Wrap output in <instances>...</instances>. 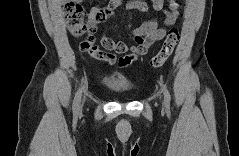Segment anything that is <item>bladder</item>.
I'll return each mask as SVG.
<instances>
[{"label": "bladder", "instance_id": "31cf9c89", "mask_svg": "<svg viewBox=\"0 0 239 156\" xmlns=\"http://www.w3.org/2000/svg\"><path fill=\"white\" fill-rule=\"evenodd\" d=\"M131 94H134L135 92L134 91H132V92H130Z\"/></svg>", "mask_w": 239, "mask_h": 156}]
</instances>
